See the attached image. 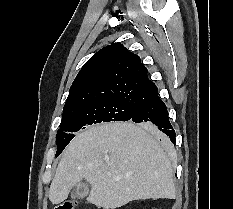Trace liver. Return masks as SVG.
I'll return each instance as SVG.
<instances>
[{
	"mask_svg": "<svg viewBox=\"0 0 233 209\" xmlns=\"http://www.w3.org/2000/svg\"><path fill=\"white\" fill-rule=\"evenodd\" d=\"M155 127L132 122L95 125L80 132L63 153L49 189L52 204L67 199L83 179L87 201L116 209L133 200L175 199L172 164Z\"/></svg>",
	"mask_w": 233,
	"mask_h": 209,
	"instance_id": "1",
	"label": "liver"
}]
</instances>
